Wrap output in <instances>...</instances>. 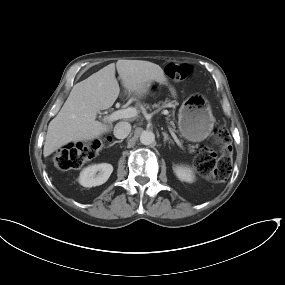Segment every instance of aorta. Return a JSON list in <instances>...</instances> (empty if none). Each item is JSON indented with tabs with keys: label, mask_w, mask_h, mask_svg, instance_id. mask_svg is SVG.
I'll return each instance as SVG.
<instances>
[{
	"label": "aorta",
	"mask_w": 285,
	"mask_h": 285,
	"mask_svg": "<svg viewBox=\"0 0 285 285\" xmlns=\"http://www.w3.org/2000/svg\"><path fill=\"white\" fill-rule=\"evenodd\" d=\"M140 142L143 145H150L155 142V134L152 131H143L140 135Z\"/></svg>",
	"instance_id": "762f6f07"
}]
</instances>
